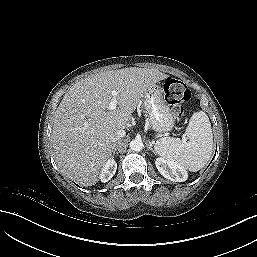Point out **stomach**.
Masks as SVG:
<instances>
[{"label": "stomach", "instance_id": "1", "mask_svg": "<svg viewBox=\"0 0 257 257\" xmlns=\"http://www.w3.org/2000/svg\"><path fill=\"white\" fill-rule=\"evenodd\" d=\"M142 104L149 126L155 132L166 133L173 129L175 118L159 85L154 84L147 89Z\"/></svg>", "mask_w": 257, "mask_h": 257}]
</instances>
